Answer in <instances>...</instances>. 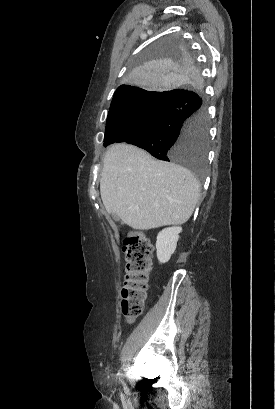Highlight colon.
<instances>
[{
  "label": "colon",
  "mask_w": 275,
  "mask_h": 409,
  "mask_svg": "<svg viewBox=\"0 0 275 409\" xmlns=\"http://www.w3.org/2000/svg\"><path fill=\"white\" fill-rule=\"evenodd\" d=\"M126 272L121 290V312L131 323L142 315L150 282L152 246L144 233L126 232L121 237Z\"/></svg>",
  "instance_id": "colon-1"
}]
</instances>
